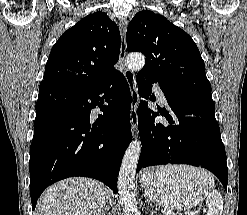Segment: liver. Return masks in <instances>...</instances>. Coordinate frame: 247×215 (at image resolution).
Returning <instances> with one entry per match:
<instances>
[{"label":"liver","mask_w":247,"mask_h":215,"mask_svg":"<svg viewBox=\"0 0 247 215\" xmlns=\"http://www.w3.org/2000/svg\"><path fill=\"white\" fill-rule=\"evenodd\" d=\"M106 203L100 182L75 177L50 186L40 197L34 215H103Z\"/></svg>","instance_id":"1"}]
</instances>
